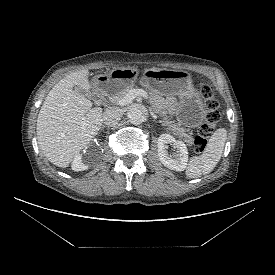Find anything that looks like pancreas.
Instances as JSON below:
<instances>
[{
  "mask_svg": "<svg viewBox=\"0 0 275 275\" xmlns=\"http://www.w3.org/2000/svg\"><path fill=\"white\" fill-rule=\"evenodd\" d=\"M132 87H126L115 94L110 96V101L114 104H118V102L126 96V94L132 90ZM164 126H167V128L172 131L175 135L179 136L181 139L184 140V142L191 146L193 144V138L190 135V133H187L186 129L184 127H181L179 123H175V121H172L169 119V117L165 116L163 118V121H161Z\"/></svg>",
  "mask_w": 275,
  "mask_h": 275,
  "instance_id": "cf45deb5",
  "label": "pancreas"
}]
</instances>
